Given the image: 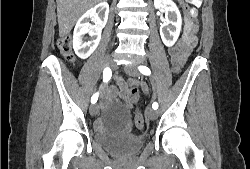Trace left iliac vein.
<instances>
[{"instance_id":"left-iliac-vein-1","label":"left iliac vein","mask_w":250,"mask_h":169,"mask_svg":"<svg viewBox=\"0 0 250 169\" xmlns=\"http://www.w3.org/2000/svg\"><path fill=\"white\" fill-rule=\"evenodd\" d=\"M125 72L133 77H138L140 75V73L136 69L135 63L126 66ZM146 113H147V116L150 120H155L157 118V112H156V110H154L152 108L147 109Z\"/></svg>"}]
</instances>
